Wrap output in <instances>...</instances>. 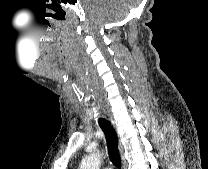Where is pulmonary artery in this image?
I'll use <instances>...</instances> for the list:
<instances>
[{"instance_id":"pulmonary-artery-1","label":"pulmonary artery","mask_w":208,"mask_h":169,"mask_svg":"<svg viewBox=\"0 0 208 169\" xmlns=\"http://www.w3.org/2000/svg\"><path fill=\"white\" fill-rule=\"evenodd\" d=\"M103 169H112L111 167H103Z\"/></svg>"}]
</instances>
